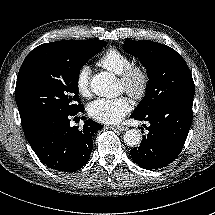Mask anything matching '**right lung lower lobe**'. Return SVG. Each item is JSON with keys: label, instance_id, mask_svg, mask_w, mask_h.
<instances>
[{"label": "right lung lower lobe", "instance_id": "98d812e1", "mask_svg": "<svg viewBox=\"0 0 215 215\" xmlns=\"http://www.w3.org/2000/svg\"><path fill=\"white\" fill-rule=\"evenodd\" d=\"M78 112L48 115L23 129L33 151L51 169L75 172L89 160L93 136L103 125L88 119L82 130L71 127L69 118Z\"/></svg>", "mask_w": 215, "mask_h": 215}]
</instances>
